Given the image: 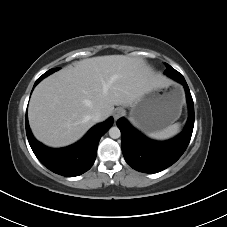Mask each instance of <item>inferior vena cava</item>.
<instances>
[{"label": "inferior vena cava", "mask_w": 227, "mask_h": 227, "mask_svg": "<svg viewBox=\"0 0 227 227\" xmlns=\"http://www.w3.org/2000/svg\"><path fill=\"white\" fill-rule=\"evenodd\" d=\"M91 119L94 121V122H99L101 121L102 119V113L100 111H96L92 114L91 116Z\"/></svg>", "instance_id": "602c4592"}]
</instances>
